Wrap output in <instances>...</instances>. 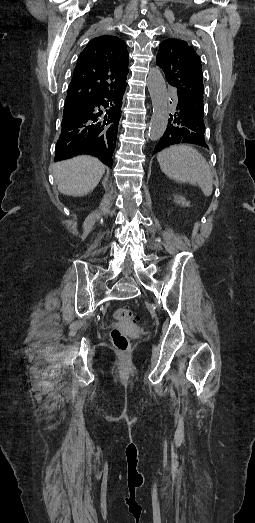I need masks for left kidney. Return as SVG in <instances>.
Listing matches in <instances>:
<instances>
[{
    "label": "left kidney",
    "mask_w": 255,
    "mask_h": 523,
    "mask_svg": "<svg viewBox=\"0 0 255 523\" xmlns=\"http://www.w3.org/2000/svg\"><path fill=\"white\" fill-rule=\"evenodd\" d=\"M174 198V202H177V204H182V206H190V202H186L183 196H174Z\"/></svg>",
    "instance_id": "5707ae66"
}]
</instances>
